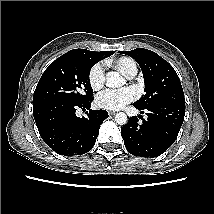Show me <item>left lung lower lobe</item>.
Instances as JSON below:
<instances>
[{
	"label": "left lung lower lobe",
	"mask_w": 214,
	"mask_h": 214,
	"mask_svg": "<svg viewBox=\"0 0 214 214\" xmlns=\"http://www.w3.org/2000/svg\"><path fill=\"white\" fill-rule=\"evenodd\" d=\"M137 108V107H135ZM147 120L138 124L133 116L121 128V135L129 153L140 157H158L176 140L184 121L185 104L159 103L145 109Z\"/></svg>",
	"instance_id": "left-lung-lower-lobe-1"
}]
</instances>
